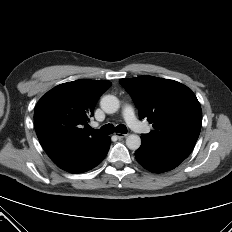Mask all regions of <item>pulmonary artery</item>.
<instances>
[{"mask_svg": "<svg viewBox=\"0 0 232 232\" xmlns=\"http://www.w3.org/2000/svg\"><path fill=\"white\" fill-rule=\"evenodd\" d=\"M123 117L127 122L128 126L132 128L134 131L139 133L147 132V126L143 125L135 116L134 109L130 105H126L123 108Z\"/></svg>", "mask_w": 232, "mask_h": 232, "instance_id": "obj_1", "label": "pulmonary artery"}]
</instances>
